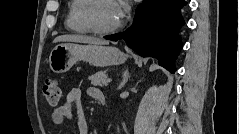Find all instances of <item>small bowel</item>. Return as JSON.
Listing matches in <instances>:
<instances>
[{
    "mask_svg": "<svg viewBox=\"0 0 239 134\" xmlns=\"http://www.w3.org/2000/svg\"><path fill=\"white\" fill-rule=\"evenodd\" d=\"M87 93L91 98L98 101H101V98L104 96V94L95 87L88 88ZM51 119L55 125H61L65 119H75L78 133L88 134V127L81 106L80 89L73 88L67 93L63 104L52 112ZM61 134H63V132H61Z\"/></svg>",
    "mask_w": 239,
    "mask_h": 134,
    "instance_id": "obj_1",
    "label": "small bowel"
}]
</instances>
